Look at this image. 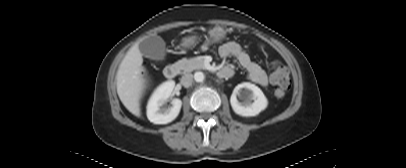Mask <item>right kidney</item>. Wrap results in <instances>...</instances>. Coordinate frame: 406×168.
Returning <instances> with one entry per match:
<instances>
[{
    "label": "right kidney",
    "mask_w": 406,
    "mask_h": 168,
    "mask_svg": "<svg viewBox=\"0 0 406 168\" xmlns=\"http://www.w3.org/2000/svg\"><path fill=\"white\" fill-rule=\"evenodd\" d=\"M174 86V81H167L154 91L147 105V118L150 122L154 124H167L176 119L182 106L180 99H173L171 101L172 107L161 109V106L170 97Z\"/></svg>",
    "instance_id": "right-kidney-1"
}]
</instances>
